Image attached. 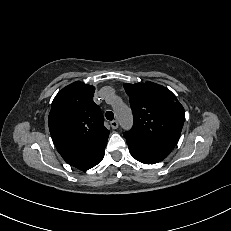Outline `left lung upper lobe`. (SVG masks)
<instances>
[{
  "label": "left lung upper lobe",
  "instance_id": "left-lung-upper-lobe-1",
  "mask_svg": "<svg viewBox=\"0 0 231 231\" xmlns=\"http://www.w3.org/2000/svg\"><path fill=\"white\" fill-rule=\"evenodd\" d=\"M134 124L124 133L127 144L141 152L167 157L175 147L185 112L176 96L153 82L125 84Z\"/></svg>",
  "mask_w": 231,
  "mask_h": 231
}]
</instances>
